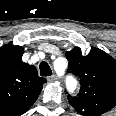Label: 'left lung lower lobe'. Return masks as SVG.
I'll list each match as a JSON object with an SVG mask.
<instances>
[{"label":"left lung lower lobe","instance_id":"1","mask_svg":"<svg viewBox=\"0 0 116 116\" xmlns=\"http://www.w3.org/2000/svg\"><path fill=\"white\" fill-rule=\"evenodd\" d=\"M99 114H96V113H89V114H87V115H85V116H98Z\"/></svg>","mask_w":116,"mask_h":116}]
</instances>
